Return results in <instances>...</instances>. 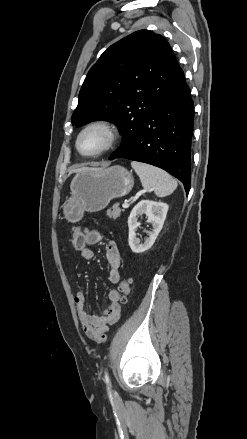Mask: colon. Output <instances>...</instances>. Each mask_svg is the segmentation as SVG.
I'll use <instances>...</instances> for the list:
<instances>
[{
    "label": "colon",
    "instance_id": "1",
    "mask_svg": "<svg viewBox=\"0 0 247 439\" xmlns=\"http://www.w3.org/2000/svg\"><path fill=\"white\" fill-rule=\"evenodd\" d=\"M86 231L87 230L81 226L75 227L71 231V241H72L73 247L78 252L82 251L86 246V244H85ZM131 284H132V279L130 277L125 278L120 283L119 291L122 294V301L126 300V297L129 294L130 289H131Z\"/></svg>",
    "mask_w": 247,
    "mask_h": 439
}]
</instances>
